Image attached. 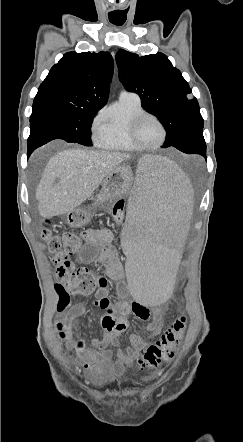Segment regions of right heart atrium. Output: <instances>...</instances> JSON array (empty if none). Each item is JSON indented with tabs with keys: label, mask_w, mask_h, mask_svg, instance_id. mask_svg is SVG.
Returning <instances> with one entry per match:
<instances>
[{
	"label": "right heart atrium",
	"mask_w": 243,
	"mask_h": 442,
	"mask_svg": "<svg viewBox=\"0 0 243 442\" xmlns=\"http://www.w3.org/2000/svg\"><path fill=\"white\" fill-rule=\"evenodd\" d=\"M102 121V116L101 115H97L93 121H92V125H91V129L93 134L95 133V131L99 128L100 124Z\"/></svg>",
	"instance_id": "1"
}]
</instances>
